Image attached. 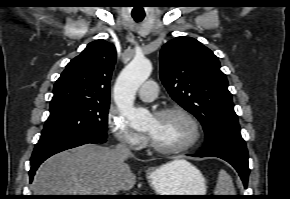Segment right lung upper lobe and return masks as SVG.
I'll list each match as a JSON object with an SVG mask.
<instances>
[{"mask_svg": "<svg viewBox=\"0 0 290 199\" xmlns=\"http://www.w3.org/2000/svg\"><path fill=\"white\" fill-rule=\"evenodd\" d=\"M115 61L113 44L102 39L89 43L56 81L50 109L77 103H109Z\"/></svg>", "mask_w": 290, "mask_h": 199, "instance_id": "cb5924a9", "label": "right lung upper lobe"}]
</instances>
